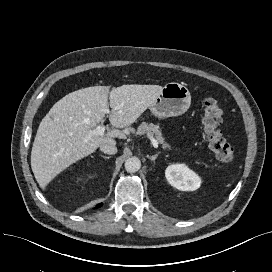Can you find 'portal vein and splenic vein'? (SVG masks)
I'll return each mask as SVG.
<instances>
[{
	"label": "portal vein and splenic vein",
	"instance_id": "obj_1",
	"mask_svg": "<svg viewBox=\"0 0 272 272\" xmlns=\"http://www.w3.org/2000/svg\"><path fill=\"white\" fill-rule=\"evenodd\" d=\"M105 112L106 113H109V109H105ZM105 132V126L104 125H98L94 130H93V133L97 134V135H103ZM150 141H151V144L154 148H158V142L157 140L152 137V136H148Z\"/></svg>",
	"mask_w": 272,
	"mask_h": 272
}]
</instances>
